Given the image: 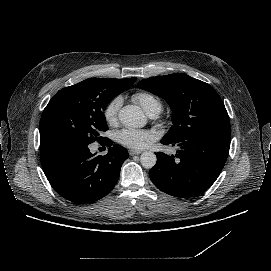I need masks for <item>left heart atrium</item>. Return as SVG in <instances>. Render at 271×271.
Returning a JSON list of instances; mask_svg holds the SVG:
<instances>
[{"label":"left heart atrium","instance_id":"obj_1","mask_svg":"<svg viewBox=\"0 0 271 271\" xmlns=\"http://www.w3.org/2000/svg\"><path fill=\"white\" fill-rule=\"evenodd\" d=\"M117 141L129 149H143L152 140V133L145 129L124 128L116 134Z\"/></svg>","mask_w":271,"mask_h":271}]
</instances>
